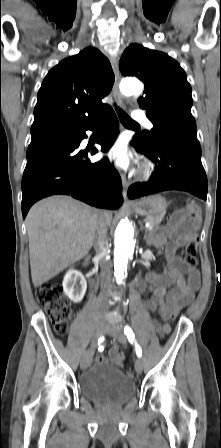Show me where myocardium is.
<instances>
[{
	"label": "myocardium",
	"mask_w": 221,
	"mask_h": 448,
	"mask_svg": "<svg viewBox=\"0 0 221 448\" xmlns=\"http://www.w3.org/2000/svg\"><path fill=\"white\" fill-rule=\"evenodd\" d=\"M154 172V166L151 162H146L141 171V176L143 178H149Z\"/></svg>",
	"instance_id": "1"
}]
</instances>
